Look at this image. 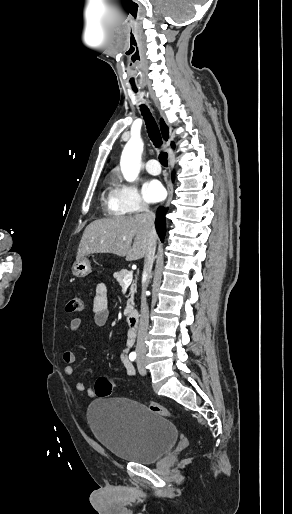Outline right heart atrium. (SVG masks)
<instances>
[{
	"mask_svg": "<svg viewBox=\"0 0 292 514\" xmlns=\"http://www.w3.org/2000/svg\"><path fill=\"white\" fill-rule=\"evenodd\" d=\"M114 193L117 203L125 212L126 209H147V203L135 182L118 183Z\"/></svg>",
	"mask_w": 292,
	"mask_h": 514,
	"instance_id": "1",
	"label": "right heart atrium"
}]
</instances>
